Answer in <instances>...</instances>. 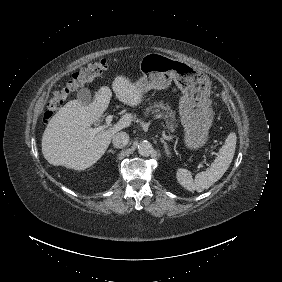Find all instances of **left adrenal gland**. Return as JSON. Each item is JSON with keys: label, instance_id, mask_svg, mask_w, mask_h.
Masks as SVG:
<instances>
[{"label": "left adrenal gland", "instance_id": "obj_1", "mask_svg": "<svg viewBox=\"0 0 282 282\" xmlns=\"http://www.w3.org/2000/svg\"><path fill=\"white\" fill-rule=\"evenodd\" d=\"M160 141H161V143L164 144L165 152L169 156L170 155V151H169V148H168V145H167L166 141L163 138H160Z\"/></svg>", "mask_w": 282, "mask_h": 282}]
</instances>
